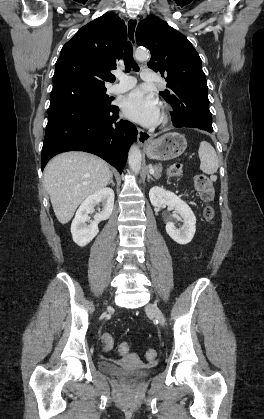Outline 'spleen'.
Here are the masks:
<instances>
[{
	"label": "spleen",
	"instance_id": "obj_1",
	"mask_svg": "<svg viewBox=\"0 0 264 419\" xmlns=\"http://www.w3.org/2000/svg\"><path fill=\"white\" fill-rule=\"evenodd\" d=\"M198 154L201 161V171L205 174L216 173L219 167V160L213 146L207 141H202L199 146Z\"/></svg>",
	"mask_w": 264,
	"mask_h": 419
}]
</instances>
